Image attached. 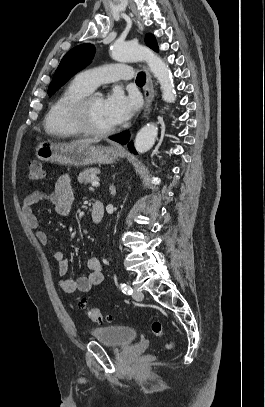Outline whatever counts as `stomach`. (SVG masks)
Masks as SVG:
<instances>
[{
    "label": "stomach",
    "instance_id": "0dacf381",
    "mask_svg": "<svg viewBox=\"0 0 265 407\" xmlns=\"http://www.w3.org/2000/svg\"><path fill=\"white\" fill-rule=\"evenodd\" d=\"M35 155L43 162L86 166L94 163L112 164L118 159L119 153L112 147L42 141L38 143Z\"/></svg>",
    "mask_w": 265,
    "mask_h": 407
}]
</instances>
